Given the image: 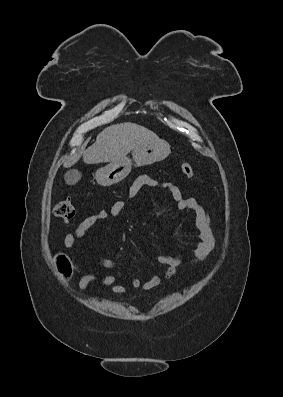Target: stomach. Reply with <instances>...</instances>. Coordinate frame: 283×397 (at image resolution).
Instances as JSON below:
<instances>
[{"label":"stomach","instance_id":"stomach-1","mask_svg":"<svg viewBox=\"0 0 283 397\" xmlns=\"http://www.w3.org/2000/svg\"><path fill=\"white\" fill-rule=\"evenodd\" d=\"M170 152V145L159 139L139 144L133 150L132 156L136 166H145L164 160ZM131 168L132 161L125 157L121 160L111 161L105 167L99 168L95 177L100 185L110 186L126 178L131 172Z\"/></svg>","mask_w":283,"mask_h":397}]
</instances>
